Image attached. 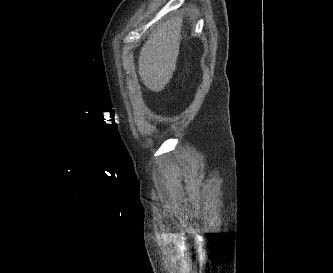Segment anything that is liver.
Here are the masks:
<instances>
[{
  "mask_svg": "<svg viewBox=\"0 0 333 273\" xmlns=\"http://www.w3.org/2000/svg\"><path fill=\"white\" fill-rule=\"evenodd\" d=\"M180 30L179 18L158 25L140 51L138 72L143 84L151 91L163 90L175 71Z\"/></svg>",
  "mask_w": 333,
  "mask_h": 273,
  "instance_id": "liver-1",
  "label": "liver"
}]
</instances>
